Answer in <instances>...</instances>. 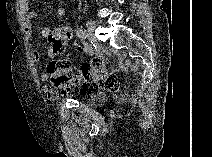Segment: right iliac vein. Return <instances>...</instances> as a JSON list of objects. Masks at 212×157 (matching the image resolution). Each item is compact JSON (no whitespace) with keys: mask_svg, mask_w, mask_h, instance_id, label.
<instances>
[{"mask_svg":"<svg viewBox=\"0 0 212 157\" xmlns=\"http://www.w3.org/2000/svg\"><path fill=\"white\" fill-rule=\"evenodd\" d=\"M86 27H87V32H88V34H89L91 37H93V32H94L95 27H96L95 22L92 21V20H88V21L86 22Z\"/></svg>","mask_w":212,"mask_h":157,"instance_id":"1","label":"right iliac vein"}]
</instances>
